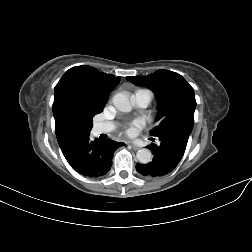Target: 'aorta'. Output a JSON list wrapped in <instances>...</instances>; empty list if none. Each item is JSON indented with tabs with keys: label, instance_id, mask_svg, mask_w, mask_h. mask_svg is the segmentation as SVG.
Here are the masks:
<instances>
[{
	"label": "aorta",
	"instance_id": "obj_1",
	"mask_svg": "<svg viewBox=\"0 0 252 252\" xmlns=\"http://www.w3.org/2000/svg\"><path fill=\"white\" fill-rule=\"evenodd\" d=\"M113 105L121 112H130L132 110V103L129 97L123 93H117L113 97ZM136 157L141 164H147L152 160V153L147 148L139 149Z\"/></svg>",
	"mask_w": 252,
	"mask_h": 252
}]
</instances>
